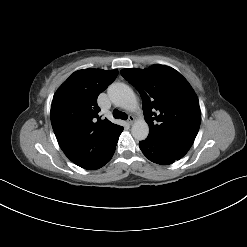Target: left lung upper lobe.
Returning a JSON list of instances; mask_svg holds the SVG:
<instances>
[{"mask_svg":"<svg viewBox=\"0 0 247 247\" xmlns=\"http://www.w3.org/2000/svg\"><path fill=\"white\" fill-rule=\"evenodd\" d=\"M120 73L141 95L148 136L191 147L201 114L198 98L187 80L164 65L123 69Z\"/></svg>","mask_w":247,"mask_h":247,"instance_id":"left-lung-upper-lobe-1","label":"left lung upper lobe"}]
</instances>
